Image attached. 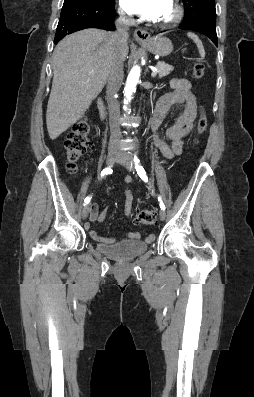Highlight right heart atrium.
Segmentation results:
<instances>
[{"mask_svg":"<svg viewBox=\"0 0 254 397\" xmlns=\"http://www.w3.org/2000/svg\"><path fill=\"white\" fill-rule=\"evenodd\" d=\"M119 12H120V16L123 20H125V21L130 20V17L122 9H120Z\"/></svg>","mask_w":254,"mask_h":397,"instance_id":"1","label":"right heart atrium"}]
</instances>
